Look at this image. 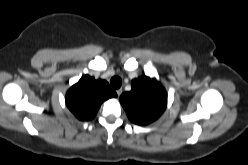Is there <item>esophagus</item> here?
<instances>
[{
    "label": "esophagus",
    "instance_id": "34e87169",
    "mask_svg": "<svg viewBox=\"0 0 248 165\" xmlns=\"http://www.w3.org/2000/svg\"><path fill=\"white\" fill-rule=\"evenodd\" d=\"M122 92H123L122 88L116 90V93H117L118 97L122 94Z\"/></svg>",
    "mask_w": 248,
    "mask_h": 165
}]
</instances>
